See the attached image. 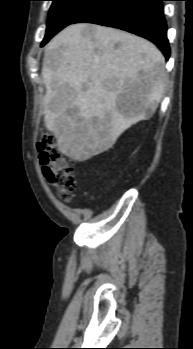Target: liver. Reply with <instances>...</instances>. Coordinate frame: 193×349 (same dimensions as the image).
<instances>
[{
	"mask_svg": "<svg viewBox=\"0 0 193 349\" xmlns=\"http://www.w3.org/2000/svg\"><path fill=\"white\" fill-rule=\"evenodd\" d=\"M42 78L46 128L63 154L85 161L152 116L164 92L165 58L131 33L73 24L45 47Z\"/></svg>",
	"mask_w": 193,
	"mask_h": 349,
	"instance_id": "liver-1",
	"label": "liver"
}]
</instances>
